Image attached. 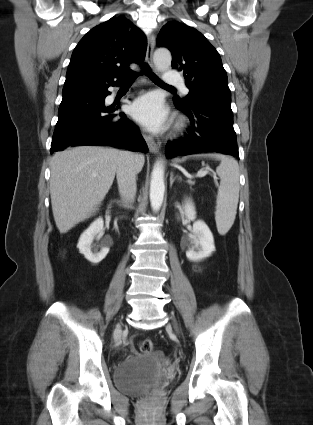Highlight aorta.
Segmentation results:
<instances>
[{"mask_svg": "<svg viewBox=\"0 0 313 425\" xmlns=\"http://www.w3.org/2000/svg\"><path fill=\"white\" fill-rule=\"evenodd\" d=\"M153 60L158 71H165L171 65L172 56L169 50L160 48L154 52ZM164 192V168L160 162H156L150 182V202L153 211L157 212L160 210L163 203Z\"/></svg>", "mask_w": 313, "mask_h": 425, "instance_id": "1", "label": "aorta"}]
</instances>
